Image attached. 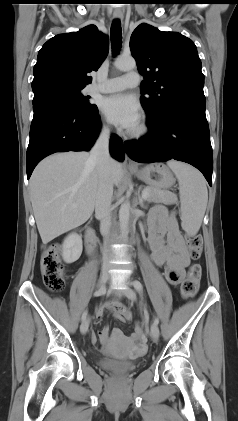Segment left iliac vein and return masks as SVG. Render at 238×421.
Here are the masks:
<instances>
[{
  "label": "left iliac vein",
  "instance_id": "obj_1",
  "mask_svg": "<svg viewBox=\"0 0 238 421\" xmlns=\"http://www.w3.org/2000/svg\"><path fill=\"white\" fill-rule=\"evenodd\" d=\"M125 294L130 300H132V301L136 300V294L129 286L125 289ZM150 334H151V337L153 338V340H155V341L159 338V328H158L157 324L153 323L151 325Z\"/></svg>",
  "mask_w": 238,
  "mask_h": 421
}]
</instances>
